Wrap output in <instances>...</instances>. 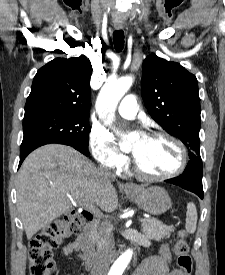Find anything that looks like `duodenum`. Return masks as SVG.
Here are the masks:
<instances>
[{
    "label": "duodenum",
    "mask_w": 225,
    "mask_h": 275,
    "mask_svg": "<svg viewBox=\"0 0 225 275\" xmlns=\"http://www.w3.org/2000/svg\"><path fill=\"white\" fill-rule=\"evenodd\" d=\"M94 232L93 218H91L86 224L80 229L77 235V253L83 260L84 265L87 269L93 267L95 261V253L91 243V238Z\"/></svg>",
    "instance_id": "410a0bca"
}]
</instances>
